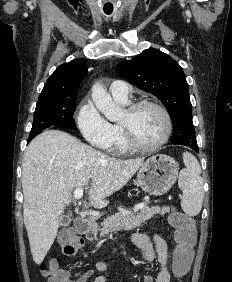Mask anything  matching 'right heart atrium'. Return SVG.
Masks as SVG:
<instances>
[{
	"mask_svg": "<svg viewBox=\"0 0 232 282\" xmlns=\"http://www.w3.org/2000/svg\"><path fill=\"white\" fill-rule=\"evenodd\" d=\"M76 123L83 138L93 147L108 150L113 140L111 124L101 115L93 102L84 99L78 106Z\"/></svg>",
	"mask_w": 232,
	"mask_h": 282,
	"instance_id": "obj_1",
	"label": "right heart atrium"
}]
</instances>
